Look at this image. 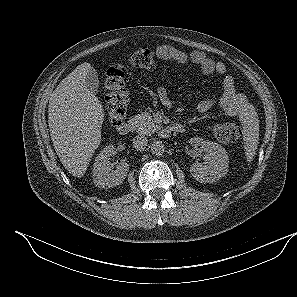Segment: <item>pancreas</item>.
Masks as SVG:
<instances>
[{
  "label": "pancreas",
  "mask_w": 297,
  "mask_h": 297,
  "mask_svg": "<svg viewBox=\"0 0 297 297\" xmlns=\"http://www.w3.org/2000/svg\"><path fill=\"white\" fill-rule=\"evenodd\" d=\"M130 122L133 123L138 133L144 135H150L160 128L159 125L155 124L151 115L147 112L135 115L131 118Z\"/></svg>",
  "instance_id": "pancreas-1"
}]
</instances>
